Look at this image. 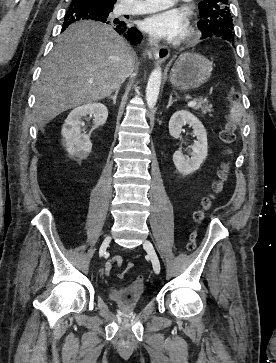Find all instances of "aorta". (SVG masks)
Returning <instances> with one entry per match:
<instances>
[{"instance_id":"762f6f07","label":"aorta","mask_w":276,"mask_h":363,"mask_svg":"<svg viewBox=\"0 0 276 363\" xmlns=\"http://www.w3.org/2000/svg\"><path fill=\"white\" fill-rule=\"evenodd\" d=\"M162 80V70L156 67L150 74L146 87V102L149 108H154L157 103L160 85Z\"/></svg>"}]
</instances>
